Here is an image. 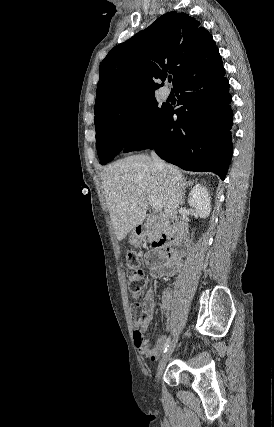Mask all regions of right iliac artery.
Returning <instances> with one entry per match:
<instances>
[{
  "label": "right iliac artery",
  "instance_id": "right-iliac-artery-1",
  "mask_svg": "<svg viewBox=\"0 0 274 427\" xmlns=\"http://www.w3.org/2000/svg\"><path fill=\"white\" fill-rule=\"evenodd\" d=\"M169 345H170V336L167 338V340H166V342H165L164 349H163V353H164V354L166 353V351H167V349H168Z\"/></svg>",
  "mask_w": 274,
  "mask_h": 427
}]
</instances>
